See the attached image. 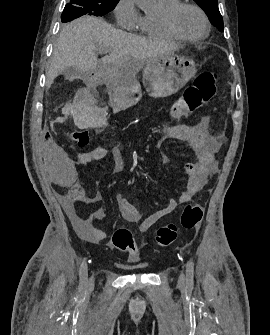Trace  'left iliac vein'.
<instances>
[{
  "instance_id": "left-iliac-vein-1",
  "label": "left iliac vein",
  "mask_w": 270,
  "mask_h": 335,
  "mask_svg": "<svg viewBox=\"0 0 270 335\" xmlns=\"http://www.w3.org/2000/svg\"><path fill=\"white\" fill-rule=\"evenodd\" d=\"M178 284L180 286H184L185 285V275L183 273H181L180 276H179Z\"/></svg>"
}]
</instances>
